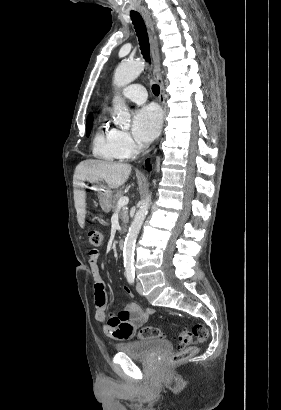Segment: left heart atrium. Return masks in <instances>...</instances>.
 <instances>
[{"label": "left heart atrium", "mask_w": 281, "mask_h": 410, "mask_svg": "<svg viewBox=\"0 0 281 410\" xmlns=\"http://www.w3.org/2000/svg\"><path fill=\"white\" fill-rule=\"evenodd\" d=\"M160 127L161 113L156 106L148 105L135 112L132 132L138 141L151 142L158 135Z\"/></svg>", "instance_id": "39dd6f15"}]
</instances>
